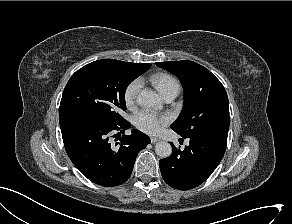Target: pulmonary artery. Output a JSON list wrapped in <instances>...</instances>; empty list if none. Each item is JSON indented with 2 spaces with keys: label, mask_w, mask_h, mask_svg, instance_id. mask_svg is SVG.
<instances>
[{
  "label": "pulmonary artery",
  "mask_w": 292,
  "mask_h": 224,
  "mask_svg": "<svg viewBox=\"0 0 292 224\" xmlns=\"http://www.w3.org/2000/svg\"><path fill=\"white\" fill-rule=\"evenodd\" d=\"M177 94L178 93L176 91H170V92L164 94L162 97H163L165 102L169 103L175 99Z\"/></svg>",
  "instance_id": "1"
}]
</instances>
